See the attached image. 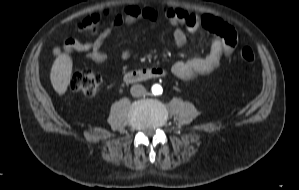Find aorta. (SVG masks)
Returning <instances> with one entry per match:
<instances>
[{"label":"aorta","instance_id":"aorta-1","mask_svg":"<svg viewBox=\"0 0 299 190\" xmlns=\"http://www.w3.org/2000/svg\"><path fill=\"white\" fill-rule=\"evenodd\" d=\"M151 90L154 95H158L162 93V87L158 84L153 85Z\"/></svg>","mask_w":299,"mask_h":190}]
</instances>
